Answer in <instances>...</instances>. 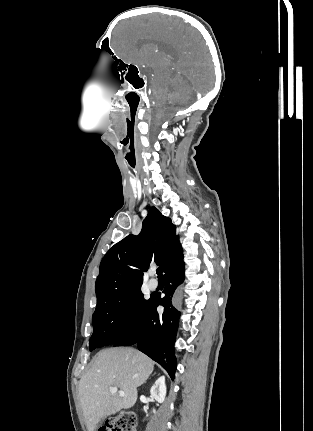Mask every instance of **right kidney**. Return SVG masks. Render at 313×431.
<instances>
[{
    "mask_svg": "<svg viewBox=\"0 0 313 431\" xmlns=\"http://www.w3.org/2000/svg\"><path fill=\"white\" fill-rule=\"evenodd\" d=\"M151 396L159 403H163L166 396L165 377L158 378L150 389Z\"/></svg>",
    "mask_w": 313,
    "mask_h": 431,
    "instance_id": "right-kidney-1",
    "label": "right kidney"
}]
</instances>
